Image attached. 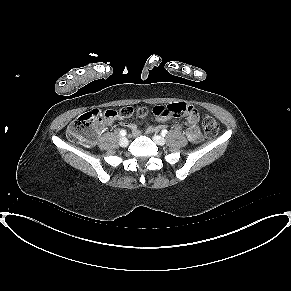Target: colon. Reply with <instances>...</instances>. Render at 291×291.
<instances>
[{"mask_svg": "<svg viewBox=\"0 0 291 291\" xmlns=\"http://www.w3.org/2000/svg\"><path fill=\"white\" fill-rule=\"evenodd\" d=\"M196 112V109L192 105L186 103H174L167 106H156L153 108V114L157 117L164 118L167 116H182ZM146 115L144 108L134 109L133 107H125L120 111L109 109L107 111H101L99 109H93L88 111L74 121H72L67 130V136L69 140L73 142H81L86 145H92L97 138L99 130V123L103 118H143ZM202 128L205 135L209 138L216 136L219 130L216 120L209 116L204 115L202 117Z\"/></svg>", "mask_w": 291, "mask_h": 291, "instance_id": "colon-1", "label": "colon"}]
</instances>
